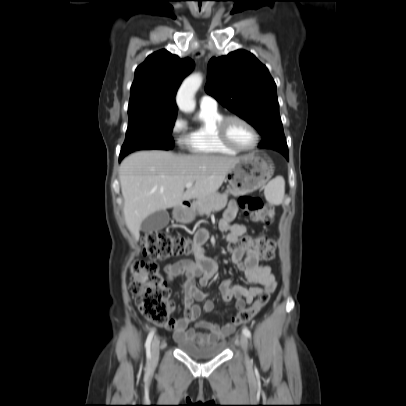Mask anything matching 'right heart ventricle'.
<instances>
[{
    "instance_id": "right-heart-ventricle-1",
    "label": "right heart ventricle",
    "mask_w": 406,
    "mask_h": 406,
    "mask_svg": "<svg viewBox=\"0 0 406 406\" xmlns=\"http://www.w3.org/2000/svg\"><path fill=\"white\" fill-rule=\"evenodd\" d=\"M222 117L223 114L217 107H200L199 122L185 140V145L192 153L225 156H233L238 153L219 140L217 125Z\"/></svg>"
}]
</instances>
